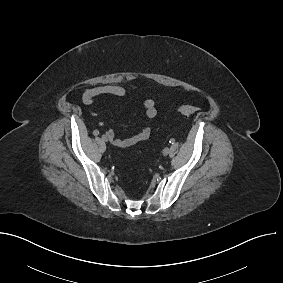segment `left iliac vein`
Masks as SVG:
<instances>
[{
    "label": "left iliac vein",
    "mask_w": 283,
    "mask_h": 283,
    "mask_svg": "<svg viewBox=\"0 0 283 283\" xmlns=\"http://www.w3.org/2000/svg\"><path fill=\"white\" fill-rule=\"evenodd\" d=\"M169 152H170V149H169L168 147H166V148H164V150H163V155H164V156H167V155L169 154Z\"/></svg>",
    "instance_id": "obj_1"
}]
</instances>
